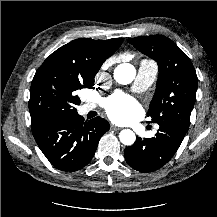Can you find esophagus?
<instances>
[{
	"mask_svg": "<svg viewBox=\"0 0 217 217\" xmlns=\"http://www.w3.org/2000/svg\"><path fill=\"white\" fill-rule=\"evenodd\" d=\"M111 129L114 130V131H119L120 130L119 127H117V126H115L113 124L111 125Z\"/></svg>",
	"mask_w": 217,
	"mask_h": 217,
	"instance_id": "34e87169",
	"label": "esophagus"
}]
</instances>
